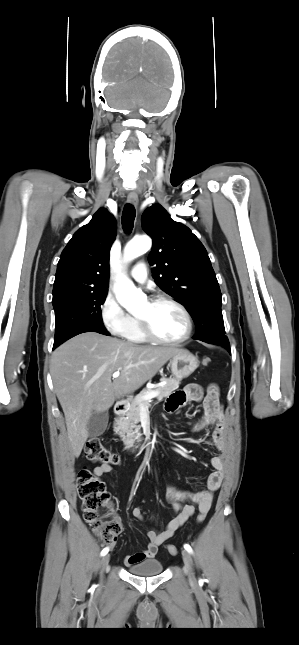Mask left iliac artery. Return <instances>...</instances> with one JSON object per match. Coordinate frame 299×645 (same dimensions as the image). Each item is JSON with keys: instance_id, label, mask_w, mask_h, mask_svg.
Returning <instances> with one entry per match:
<instances>
[{"instance_id": "1", "label": "left iliac artery", "mask_w": 299, "mask_h": 645, "mask_svg": "<svg viewBox=\"0 0 299 645\" xmlns=\"http://www.w3.org/2000/svg\"><path fill=\"white\" fill-rule=\"evenodd\" d=\"M185 550H187L189 553H192V548L189 544L184 545Z\"/></svg>"}]
</instances>
